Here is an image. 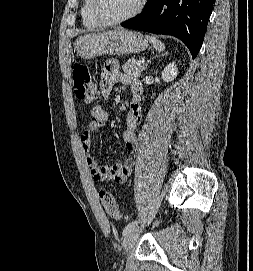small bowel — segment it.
I'll return each mask as SVG.
<instances>
[{"label":"small bowel","mask_w":253,"mask_h":271,"mask_svg":"<svg viewBox=\"0 0 253 271\" xmlns=\"http://www.w3.org/2000/svg\"><path fill=\"white\" fill-rule=\"evenodd\" d=\"M123 84L130 88V111L126 117L127 128L122 135L128 150L133 152L136 147V129L142 122L141 95L142 85L138 78L120 71L116 61H107L101 72L100 91L104 98H108L116 84ZM108 120V113L101 106L91 109V120L88 127L79 136L81 146L89 151L93 134L102 130ZM86 163L91 177L98 182H125L132 173L134 159L129 156L126 161L114 165H99L92 156H87Z\"/></svg>","instance_id":"1"}]
</instances>
